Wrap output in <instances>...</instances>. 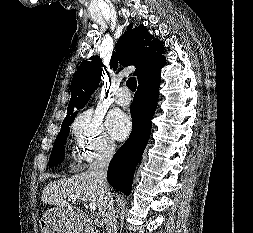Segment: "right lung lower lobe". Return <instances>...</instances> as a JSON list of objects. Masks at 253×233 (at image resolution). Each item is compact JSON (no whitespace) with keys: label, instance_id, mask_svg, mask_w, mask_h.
<instances>
[{"label":"right lung lower lobe","instance_id":"98d812e1","mask_svg":"<svg viewBox=\"0 0 253 233\" xmlns=\"http://www.w3.org/2000/svg\"><path fill=\"white\" fill-rule=\"evenodd\" d=\"M160 71L155 72L139 83L130 106L132 133L129 139L113 156L107 179L110 185L129 195L135 168L140 161L151 133V119L159 96Z\"/></svg>","mask_w":253,"mask_h":233}]
</instances>
